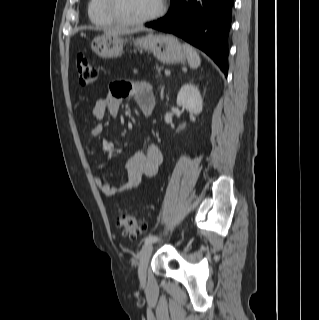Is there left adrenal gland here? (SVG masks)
Segmentation results:
<instances>
[{"label": "left adrenal gland", "instance_id": "obj_1", "mask_svg": "<svg viewBox=\"0 0 319 320\" xmlns=\"http://www.w3.org/2000/svg\"><path fill=\"white\" fill-rule=\"evenodd\" d=\"M162 98H163V89H162Z\"/></svg>", "mask_w": 319, "mask_h": 320}]
</instances>
